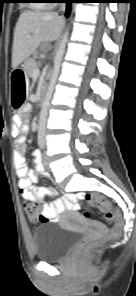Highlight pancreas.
Segmentation results:
<instances>
[{
    "instance_id": "cf45deb5",
    "label": "pancreas",
    "mask_w": 136,
    "mask_h": 296,
    "mask_svg": "<svg viewBox=\"0 0 136 296\" xmlns=\"http://www.w3.org/2000/svg\"><path fill=\"white\" fill-rule=\"evenodd\" d=\"M36 58L37 56L30 58L24 63V70L29 77H33V71L37 68Z\"/></svg>"
}]
</instances>
